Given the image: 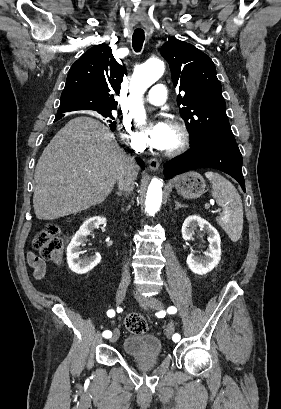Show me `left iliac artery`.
I'll use <instances>...</instances> for the list:
<instances>
[{
  "instance_id": "obj_1",
  "label": "left iliac artery",
  "mask_w": 281,
  "mask_h": 409,
  "mask_svg": "<svg viewBox=\"0 0 281 409\" xmlns=\"http://www.w3.org/2000/svg\"><path fill=\"white\" fill-rule=\"evenodd\" d=\"M167 311H168L169 314H174V313H176L177 310H176L175 307L171 306V307H169L167 309ZM172 339H173V341L177 342V341L180 340V335L176 333V334L173 335Z\"/></svg>"
}]
</instances>
